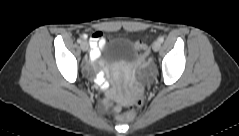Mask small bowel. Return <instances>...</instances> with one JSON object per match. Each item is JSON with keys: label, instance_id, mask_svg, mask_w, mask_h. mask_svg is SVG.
Listing matches in <instances>:
<instances>
[{"label": "small bowel", "instance_id": "small-bowel-1", "mask_svg": "<svg viewBox=\"0 0 239 136\" xmlns=\"http://www.w3.org/2000/svg\"><path fill=\"white\" fill-rule=\"evenodd\" d=\"M90 43L93 48L90 53V61L95 62L99 57L100 50L104 47L105 41L102 34L97 32L90 37Z\"/></svg>", "mask_w": 239, "mask_h": 136}]
</instances>
